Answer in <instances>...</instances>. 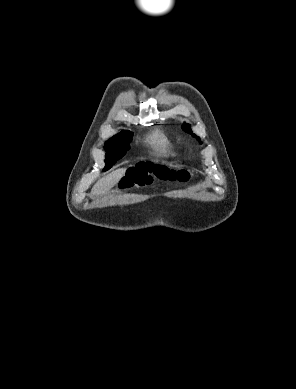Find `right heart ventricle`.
I'll use <instances>...</instances> for the list:
<instances>
[{"label":"right heart ventricle","instance_id":"obj_1","mask_svg":"<svg viewBox=\"0 0 296 389\" xmlns=\"http://www.w3.org/2000/svg\"><path fill=\"white\" fill-rule=\"evenodd\" d=\"M147 142L158 153L162 155H173V145L169 138L161 131H153L147 137Z\"/></svg>","mask_w":296,"mask_h":389}]
</instances>
